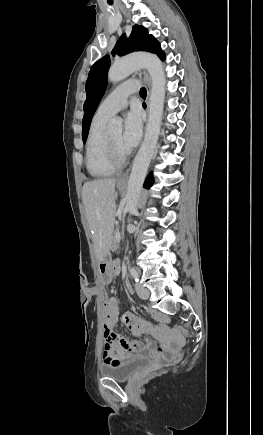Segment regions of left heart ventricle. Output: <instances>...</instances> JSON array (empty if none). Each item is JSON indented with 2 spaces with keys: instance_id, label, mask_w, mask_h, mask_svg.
Segmentation results:
<instances>
[{
  "instance_id": "b2bd125f",
  "label": "left heart ventricle",
  "mask_w": 263,
  "mask_h": 435,
  "mask_svg": "<svg viewBox=\"0 0 263 435\" xmlns=\"http://www.w3.org/2000/svg\"><path fill=\"white\" fill-rule=\"evenodd\" d=\"M110 141L113 143V145L120 151L123 152L121 140H122V134L121 132H116L113 134H110L109 136Z\"/></svg>"
}]
</instances>
